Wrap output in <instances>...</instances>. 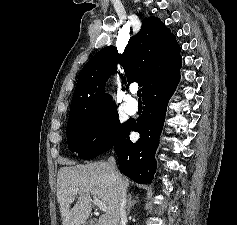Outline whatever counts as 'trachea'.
<instances>
[{
    "label": "trachea",
    "instance_id": "1",
    "mask_svg": "<svg viewBox=\"0 0 237 225\" xmlns=\"http://www.w3.org/2000/svg\"><path fill=\"white\" fill-rule=\"evenodd\" d=\"M137 95L139 97V100H141V89L138 90Z\"/></svg>",
    "mask_w": 237,
    "mask_h": 225
}]
</instances>
